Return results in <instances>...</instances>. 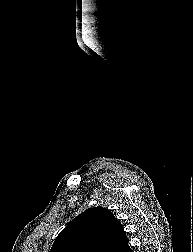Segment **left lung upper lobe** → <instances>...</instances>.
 Here are the masks:
<instances>
[{"instance_id": "5c2ea615", "label": "left lung upper lobe", "mask_w": 193, "mask_h": 252, "mask_svg": "<svg viewBox=\"0 0 193 252\" xmlns=\"http://www.w3.org/2000/svg\"><path fill=\"white\" fill-rule=\"evenodd\" d=\"M127 246L122 224L108 209L93 207L59 233L50 252H124Z\"/></svg>"}]
</instances>
